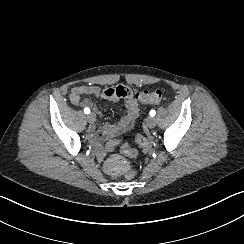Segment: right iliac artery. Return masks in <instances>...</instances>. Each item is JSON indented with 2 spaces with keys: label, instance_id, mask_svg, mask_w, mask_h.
I'll return each instance as SVG.
<instances>
[{
  "label": "right iliac artery",
  "instance_id": "1",
  "mask_svg": "<svg viewBox=\"0 0 244 244\" xmlns=\"http://www.w3.org/2000/svg\"><path fill=\"white\" fill-rule=\"evenodd\" d=\"M84 113L85 114H89L90 113V109L89 108H84Z\"/></svg>",
  "mask_w": 244,
  "mask_h": 244
}]
</instances>
